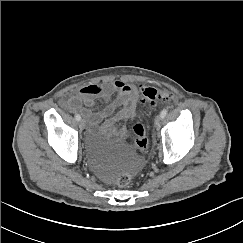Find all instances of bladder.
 Wrapping results in <instances>:
<instances>
[{
    "instance_id": "1",
    "label": "bladder",
    "mask_w": 243,
    "mask_h": 243,
    "mask_svg": "<svg viewBox=\"0 0 243 243\" xmlns=\"http://www.w3.org/2000/svg\"><path fill=\"white\" fill-rule=\"evenodd\" d=\"M114 137L113 127H107L103 124L89 134V143L91 146L101 147V151H105ZM118 165L127 172L130 169H138L141 166V161L132 149L124 147L118 151Z\"/></svg>"
}]
</instances>
